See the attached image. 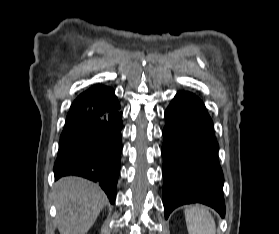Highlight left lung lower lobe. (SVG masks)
Segmentation results:
<instances>
[{
    "label": "left lung lower lobe",
    "instance_id": "0a47b994",
    "mask_svg": "<svg viewBox=\"0 0 279 234\" xmlns=\"http://www.w3.org/2000/svg\"><path fill=\"white\" fill-rule=\"evenodd\" d=\"M163 204L165 217L178 206L203 203L225 215L223 172L213 123L202 101L178 92L165 111Z\"/></svg>",
    "mask_w": 279,
    "mask_h": 234
}]
</instances>
